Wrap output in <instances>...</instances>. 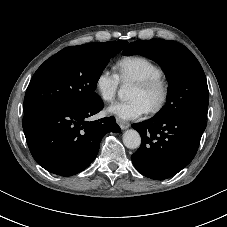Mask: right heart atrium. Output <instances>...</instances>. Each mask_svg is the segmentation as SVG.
<instances>
[{"instance_id": "obj_1", "label": "right heart atrium", "mask_w": 227, "mask_h": 227, "mask_svg": "<svg viewBox=\"0 0 227 227\" xmlns=\"http://www.w3.org/2000/svg\"><path fill=\"white\" fill-rule=\"evenodd\" d=\"M119 84V76L108 68L102 69L95 78V90L107 102L115 98Z\"/></svg>"}]
</instances>
